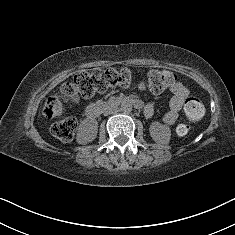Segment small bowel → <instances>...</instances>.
<instances>
[{"instance_id":"small-bowel-1","label":"small bowel","mask_w":235,"mask_h":235,"mask_svg":"<svg viewBox=\"0 0 235 235\" xmlns=\"http://www.w3.org/2000/svg\"><path fill=\"white\" fill-rule=\"evenodd\" d=\"M170 91L172 93V97L169 100V110L162 118L163 123L167 125H171L176 122L181 107L189 96V90L180 82H174L170 86ZM154 112V103H148L144 106V115L146 117H151Z\"/></svg>"}]
</instances>
